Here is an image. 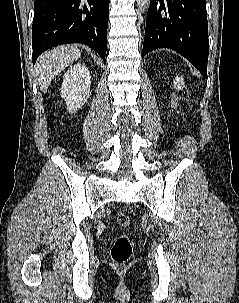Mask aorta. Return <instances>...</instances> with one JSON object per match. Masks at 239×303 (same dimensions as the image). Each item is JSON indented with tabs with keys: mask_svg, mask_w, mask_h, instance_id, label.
I'll use <instances>...</instances> for the list:
<instances>
[{
	"mask_svg": "<svg viewBox=\"0 0 239 303\" xmlns=\"http://www.w3.org/2000/svg\"><path fill=\"white\" fill-rule=\"evenodd\" d=\"M136 1H137L138 10L141 13H144L148 10V7L150 5V0H136Z\"/></svg>",
	"mask_w": 239,
	"mask_h": 303,
	"instance_id": "obj_1",
	"label": "aorta"
}]
</instances>
